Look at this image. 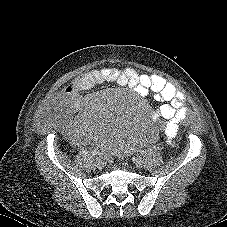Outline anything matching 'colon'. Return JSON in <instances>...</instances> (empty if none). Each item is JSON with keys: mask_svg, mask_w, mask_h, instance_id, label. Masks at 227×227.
<instances>
[{"mask_svg": "<svg viewBox=\"0 0 227 227\" xmlns=\"http://www.w3.org/2000/svg\"><path fill=\"white\" fill-rule=\"evenodd\" d=\"M176 132L178 134H187L189 132V125L187 123H178L176 125Z\"/></svg>", "mask_w": 227, "mask_h": 227, "instance_id": "1", "label": "colon"}]
</instances>
